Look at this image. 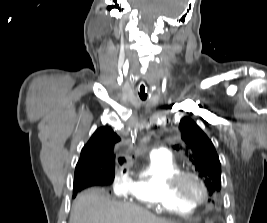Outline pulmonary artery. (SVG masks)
<instances>
[{
	"label": "pulmonary artery",
	"mask_w": 267,
	"mask_h": 223,
	"mask_svg": "<svg viewBox=\"0 0 267 223\" xmlns=\"http://www.w3.org/2000/svg\"><path fill=\"white\" fill-rule=\"evenodd\" d=\"M153 154H157V155H160V156H170L169 155V151L166 149V148H157L153 151Z\"/></svg>",
	"instance_id": "pulmonary-artery-1"
}]
</instances>
